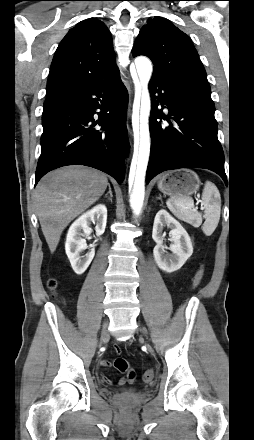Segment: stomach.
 Segmentation results:
<instances>
[{
  "instance_id": "stomach-1",
  "label": "stomach",
  "mask_w": 254,
  "mask_h": 440,
  "mask_svg": "<svg viewBox=\"0 0 254 440\" xmlns=\"http://www.w3.org/2000/svg\"><path fill=\"white\" fill-rule=\"evenodd\" d=\"M199 176L190 169H180L163 174L158 180L159 190L172 198L189 197L199 189Z\"/></svg>"
}]
</instances>
